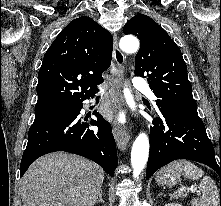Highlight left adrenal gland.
Segmentation results:
<instances>
[{"label":"left adrenal gland","instance_id":"1","mask_svg":"<svg viewBox=\"0 0 221 206\" xmlns=\"http://www.w3.org/2000/svg\"><path fill=\"white\" fill-rule=\"evenodd\" d=\"M159 196H165V195H164V193L161 192V193H159Z\"/></svg>","mask_w":221,"mask_h":206}]
</instances>
